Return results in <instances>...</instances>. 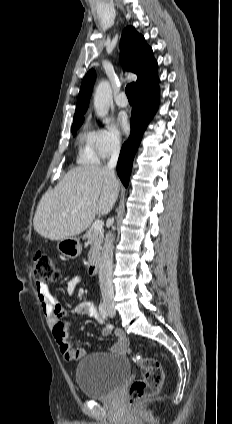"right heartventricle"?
Masks as SVG:
<instances>
[{"mask_svg": "<svg viewBox=\"0 0 232 424\" xmlns=\"http://www.w3.org/2000/svg\"><path fill=\"white\" fill-rule=\"evenodd\" d=\"M77 163L80 165H96L100 156L95 148V131L84 126L77 135Z\"/></svg>", "mask_w": 232, "mask_h": 424, "instance_id": "right-heart-ventricle-1", "label": "right heart ventricle"}]
</instances>
